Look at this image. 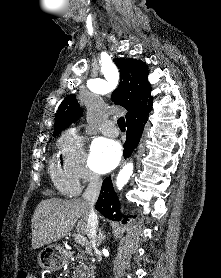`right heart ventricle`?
I'll list each match as a JSON object with an SVG mask.
<instances>
[{
    "mask_svg": "<svg viewBox=\"0 0 221 278\" xmlns=\"http://www.w3.org/2000/svg\"><path fill=\"white\" fill-rule=\"evenodd\" d=\"M52 179L59 190L65 193H77L79 184L64 164L55 160L50 167Z\"/></svg>",
    "mask_w": 221,
    "mask_h": 278,
    "instance_id": "right-heart-ventricle-1",
    "label": "right heart ventricle"
}]
</instances>
